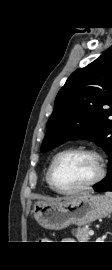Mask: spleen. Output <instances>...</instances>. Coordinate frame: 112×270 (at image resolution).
<instances>
[{"instance_id": "3e777b00", "label": "spleen", "mask_w": 112, "mask_h": 270, "mask_svg": "<svg viewBox=\"0 0 112 270\" xmlns=\"http://www.w3.org/2000/svg\"><path fill=\"white\" fill-rule=\"evenodd\" d=\"M105 195L112 199V192H106Z\"/></svg>"}]
</instances>
